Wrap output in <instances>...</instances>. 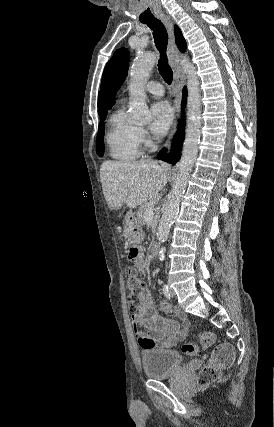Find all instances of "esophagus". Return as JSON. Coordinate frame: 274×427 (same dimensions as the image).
<instances>
[{
	"instance_id": "1",
	"label": "esophagus",
	"mask_w": 274,
	"mask_h": 427,
	"mask_svg": "<svg viewBox=\"0 0 274 427\" xmlns=\"http://www.w3.org/2000/svg\"><path fill=\"white\" fill-rule=\"evenodd\" d=\"M159 18L163 21L169 34L168 54H169V63L171 65V68L174 74L173 87H174L176 96L173 101V105L175 108V122H176V120L180 116V102L182 97V89L186 82V77L179 66V52L174 41L173 23L168 15H165V14L159 15ZM174 131H175V125L173 126L171 137L174 134ZM171 137L166 141L165 143L166 147H169Z\"/></svg>"
}]
</instances>
